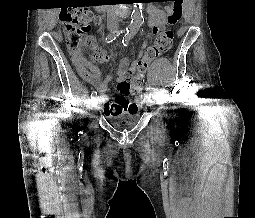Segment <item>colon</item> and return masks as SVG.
I'll return each mask as SVG.
<instances>
[{
  "instance_id": "5ec220e1",
  "label": "colon",
  "mask_w": 255,
  "mask_h": 218,
  "mask_svg": "<svg viewBox=\"0 0 255 218\" xmlns=\"http://www.w3.org/2000/svg\"><path fill=\"white\" fill-rule=\"evenodd\" d=\"M171 1L175 8L168 15L167 24L173 26L181 16V9L178 6L181 0H165ZM60 18L65 26V36L69 52L81 75H85L84 59L79 51L80 47L87 40L88 34L94 22V15L84 7H71L61 11ZM173 42L172 29H165L156 38L154 45L146 52L145 59L138 63V72L128 83H124L118 87V91L126 94V99L122 104H116L111 108V104L106 101V107L111 109L112 113L135 112L136 105L130 100L132 96H136L141 92L144 72L147 69L148 62L168 51ZM117 91V93H118Z\"/></svg>"
}]
</instances>
